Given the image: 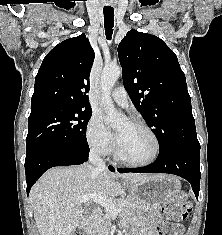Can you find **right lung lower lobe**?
<instances>
[{
  "label": "right lung lower lobe",
  "mask_w": 222,
  "mask_h": 235,
  "mask_svg": "<svg viewBox=\"0 0 222 235\" xmlns=\"http://www.w3.org/2000/svg\"><path fill=\"white\" fill-rule=\"evenodd\" d=\"M89 150L54 148L41 151L25 160L27 194L31 186L49 168L54 166L79 165L88 160ZM113 172L114 169L109 167Z\"/></svg>",
  "instance_id": "1"
}]
</instances>
